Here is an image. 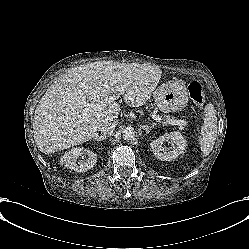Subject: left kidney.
<instances>
[{
    "label": "left kidney",
    "instance_id": "5707ae66",
    "mask_svg": "<svg viewBox=\"0 0 249 249\" xmlns=\"http://www.w3.org/2000/svg\"><path fill=\"white\" fill-rule=\"evenodd\" d=\"M155 157L161 161L175 160L186 149V140L179 131L169 132L151 142Z\"/></svg>",
    "mask_w": 249,
    "mask_h": 249
}]
</instances>
